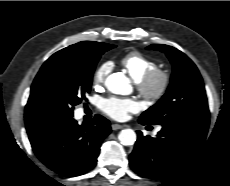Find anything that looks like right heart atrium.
Masks as SVG:
<instances>
[{
    "mask_svg": "<svg viewBox=\"0 0 230 186\" xmlns=\"http://www.w3.org/2000/svg\"><path fill=\"white\" fill-rule=\"evenodd\" d=\"M112 70V63L109 61L102 62L93 74V82L96 85H101L105 82L106 77Z\"/></svg>",
    "mask_w": 230,
    "mask_h": 186,
    "instance_id": "right-heart-atrium-1",
    "label": "right heart atrium"
}]
</instances>
